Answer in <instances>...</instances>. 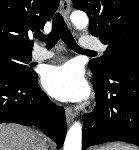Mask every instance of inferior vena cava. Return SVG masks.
Here are the masks:
<instances>
[{"label":"inferior vena cava","instance_id":"602c4592","mask_svg":"<svg viewBox=\"0 0 139 150\" xmlns=\"http://www.w3.org/2000/svg\"><path fill=\"white\" fill-rule=\"evenodd\" d=\"M42 147H43L42 149L45 150V148H44V141L43 140H42Z\"/></svg>","mask_w":139,"mask_h":150}]
</instances>
